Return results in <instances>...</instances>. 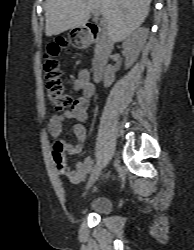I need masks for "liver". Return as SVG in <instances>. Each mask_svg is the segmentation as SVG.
<instances>
[{
	"mask_svg": "<svg viewBox=\"0 0 194 250\" xmlns=\"http://www.w3.org/2000/svg\"><path fill=\"white\" fill-rule=\"evenodd\" d=\"M151 0H47L45 34L50 37L84 27L92 11L106 19L109 39L121 42L146 19Z\"/></svg>",
	"mask_w": 194,
	"mask_h": 250,
	"instance_id": "6515ba94",
	"label": "liver"
}]
</instances>
